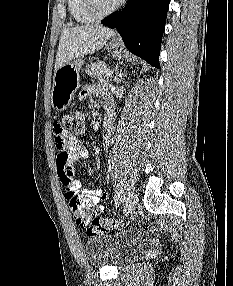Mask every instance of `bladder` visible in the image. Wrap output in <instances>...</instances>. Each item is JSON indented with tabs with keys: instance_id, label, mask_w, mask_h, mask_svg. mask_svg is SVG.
I'll list each match as a JSON object with an SVG mask.
<instances>
[{
	"instance_id": "bladder-1",
	"label": "bladder",
	"mask_w": 233,
	"mask_h": 286,
	"mask_svg": "<svg viewBox=\"0 0 233 286\" xmlns=\"http://www.w3.org/2000/svg\"><path fill=\"white\" fill-rule=\"evenodd\" d=\"M139 241L140 237L136 232L92 237L85 243V255L93 267H119L133 257Z\"/></svg>"
}]
</instances>
